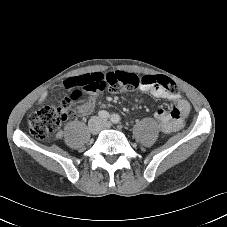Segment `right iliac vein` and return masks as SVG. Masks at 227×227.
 <instances>
[{"mask_svg": "<svg viewBox=\"0 0 227 227\" xmlns=\"http://www.w3.org/2000/svg\"><path fill=\"white\" fill-rule=\"evenodd\" d=\"M88 128H89L90 133L97 134L100 130L99 120L97 118L92 119L88 124Z\"/></svg>", "mask_w": 227, "mask_h": 227, "instance_id": "1", "label": "right iliac vein"}]
</instances>
